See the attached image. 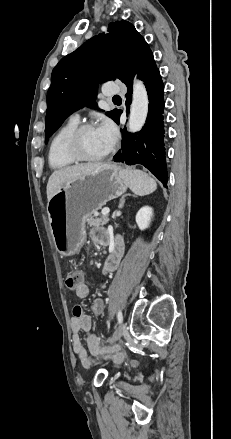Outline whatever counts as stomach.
Segmentation results:
<instances>
[{
  "instance_id": "0dacf381",
  "label": "stomach",
  "mask_w": 231,
  "mask_h": 439,
  "mask_svg": "<svg viewBox=\"0 0 231 439\" xmlns=\"http://www.w3.org/2000/svg\"><path fill=\"white\" fill-rule=\"evenodd\" d=\"M127 187L123 170L111 163L63 185L47 205L58 253L62 256L78 253L85 240L87 218L125 193Z\"/></svg>"
}]
</instances>
